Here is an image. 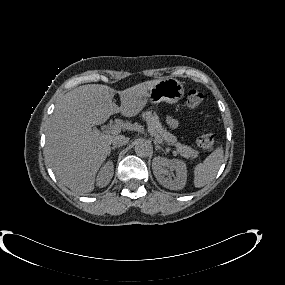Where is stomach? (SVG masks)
<instances>
[{"instance_id": "stomach-1", "label": "stomach", "mask_w": 285, "mask_h": 285, "mask_svg": "<svg viewBox=\"0 0 285 285\" xmlns=\"http://www.w3.org/2000/svg\"><path fill=\"white\" fill-rule=\"evenodd\" d=\"M184 96V87L175 78L159 80L149 91L148 101L159 103L160 101L168 104L179 102Z\"/></svg>"}]
</instances>
